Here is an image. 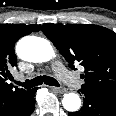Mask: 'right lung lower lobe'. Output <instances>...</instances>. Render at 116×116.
<instances>
[{"label":"right lung lower lobe","instance_id":"obj_1","mask_svg":"<svg viewBox=\"0 0 116 116\" xmlns=\"http://www.w3.org/2000/svg\"><path fill=\"white\" fill-rule=\"evenodd\" d=\"M36 89H32L6 116H30L35 108Z\"/></svg>","mask_w":116,"mask_h":116}]
</instances>
